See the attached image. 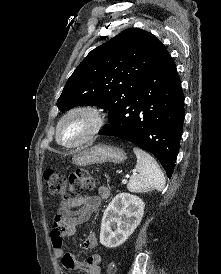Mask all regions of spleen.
I'll return each instance as SVG.
<instances>
[{"label":"spleen","instance_id":"3e777b00","mask_svg":"<svg viewBox=\"0 0 221 274\" xmlns=\"http://www.w3.org/2000/svg\"><path fill=\"white\" fill-rule=\"evenodd\" d=\"M137 163L127 189L133 193H146L151 190L162 191L165 177L155 159L140 148L134 147Z\"/></svg>","mask_w":221,"mask_h":274}]
</instances>
